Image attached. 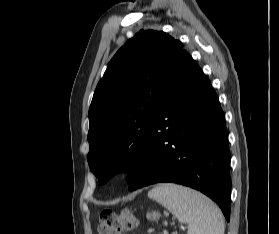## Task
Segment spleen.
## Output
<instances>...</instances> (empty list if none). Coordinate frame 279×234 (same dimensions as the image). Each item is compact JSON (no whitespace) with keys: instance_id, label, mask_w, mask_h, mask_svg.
Listing matches in <instances>:
<instances>
[{"instance_id":"obj_1","label":"spleen","mask_w":279,"mask_h":234,"mask_svg":"<svg viewBox=\"0 0 279 234\" xmlns=\"http://www.w3.org/2000/svg\"><path fill=\"white\" fill-rule=\"evenodd\" d=\"M148 196L166 207L180 222L189 225L188 234H224L225 224L220 209L205 195L193 189L163 183Z\"/></svg>"}]
</instances>
